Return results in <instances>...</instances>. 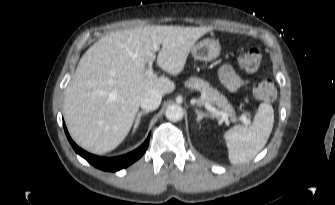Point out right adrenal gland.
<instances>
[{
  "instance_id": "2a0ac1e0",
  "label": "right adrenal gland",
  "mask_w": 335,
  "mask_h": 205,
  "mask_svg": "<svg viewBox=\"0 0 335 205\" xmlns=\"http://www.w3.org/2000/svg\"><path fill=\"white\" fill-rule=\"evenodd\" d=\"M149 111H140L138 114H137V117L135 119V122H134V126H133V132H135L136 128L138 127L139 125V122H140V119H141V116L144 115V114H148Z\"/></svg>"
}]
</instances>
